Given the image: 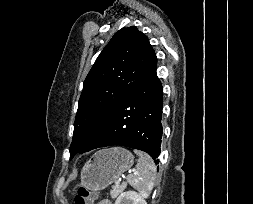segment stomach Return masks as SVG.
Returning a JSON list of instances; mask_svg holds the SVG:
<instances>
[{
  "label": "stomach",
  "instance_id": "1",
  "mask_svg": "<svg viewBox=\"0 0 253 204\" xmlns=\"http://www.w3.org/2000/svg\"><path fill=\"white\" fill-rule=\"evenodd\" d=\"M134 163V156L122 147L96 152L83 166L81 185L91 191H100L117 181Z\"/></svg>",
  "mask_w": 253,
  "mask_h": 204
}]
</instances>
